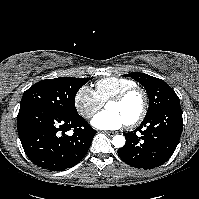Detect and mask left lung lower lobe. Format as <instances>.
<instances>
[{
    "label": "left lung lower lobe",
    "instance_id": "1",
    "mask_svg": "<svg viewBox=\"0 0 199 199\" xmlns=\"http://www.w3.org/2000/svg\"><path fill=\"white\" fill-rule=\"evenodd\" d=\"M182 127L180 104L161 109L144 118L135 131L124 133L126 144L118 149V155L132 167H158L172 156L181 137Z\"/></svg>",
    "mask_w": 199,
    "mask_h": 199
}]
</instances>
